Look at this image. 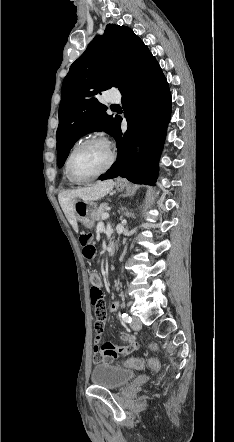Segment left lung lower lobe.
I'll list each match as a JSON object with an SVG mask.
<instances>
[{
  "label": "left lung lower lobe",
  "instance_id": "obj_1",
  "mask_svg": "<svg viewBox=\"0 0 234 442\" xmlns=\"http://www.w3.org/2000/svg\"><path fill=\"white\" fill-rule=\"evenodd\" d=\"M120 92L128 129L122 134V118L119 117L115 137L118 157L110 170L99 179L121 176L135 183L154 185L170 120L172 100L167 80L152 54L138 77ZM138 134H141L140 138ZM137 143L140 144L141 152L139 168L134 171Z\"/></svg>",
  "mask_w": 234,
  "mask_h": 442
}]
</instances>
